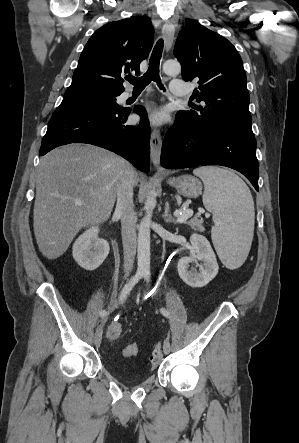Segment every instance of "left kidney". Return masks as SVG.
Returning <instances> with one entry per match:
<instances>
[{"label": "left kidney", "mask_w": 299, "mask_h": 443, "mask_svg": "<svg viewBox=\"0 0 299 443\" xmlns=\"http://www.w3.org/2000/svg\"><path fill=\"white\" fill-rule=\"evenodd\" d=\"M190 242L196 253L193 257H182L178 262V273L180 278L191 287H204L218 273V263L215 253L206 237L192 234ZM202 262V264H198ZM190 263H196L199 272L188 270Z\"/></svg>", "instance_id": "left-kidney-1"}]
</instances>
